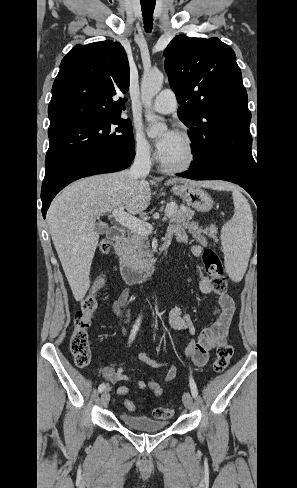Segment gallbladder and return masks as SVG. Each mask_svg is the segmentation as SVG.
I'll list each match as a JSON object with an SVG mask.
<instances>
[{
	"label": "gallbladder",
	"mask_w": 297,
	"mask_h": 488,
	"mask_svg": "<svg viewBox=\"0 0 297 488\" xmlns=\"http://www.w3.org/2000/svg\"><path fill=\"white\" fill-rule=\"evenodd\" d=\"M96 230L99 234H105L108 230V226L106 224H96Z\"/></svg>",
	"instance_id": "1"
}]
</instances>
